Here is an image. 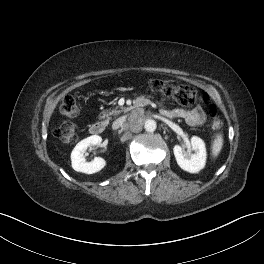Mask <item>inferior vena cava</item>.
<instances>
[{
    "mask_svg": "<svg viewBox=\"0 0 264 264\" xmlns=\"http://www.w3.org/2000/svg\"><path fill=\"white\" fill-rule=\"evenodd\" d=\"M124 122H125V120L123 118H119L115 122H113L112 128L114 130L121 128V126L123 125Z\"/></svg>",
    "mask_w": 264,
    "mask_h": 264,
    "instance_id": "1",
    "label": "inferior vena cava"
}]
</instances>
